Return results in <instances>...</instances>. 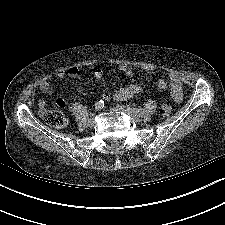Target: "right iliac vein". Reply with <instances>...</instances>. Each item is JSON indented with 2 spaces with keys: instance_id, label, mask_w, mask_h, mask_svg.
<instances>
[{
  "instance_id": "right-iliac-vein-1",
  "label": "right iliac vein",
  "mask_w": 225,
  "mask_h": 225,
  "mask_svg": "<svg viewBox=\"0 0 225 225\" xmlns=\"http://www.w3.org/2000/svg\"><path fill=\"white\" fill-rule=\"evenodd\" d=\"M95 124V117L94 115L88 120V125L89 126H94Z\"/></svg>"
}]
</instances>
